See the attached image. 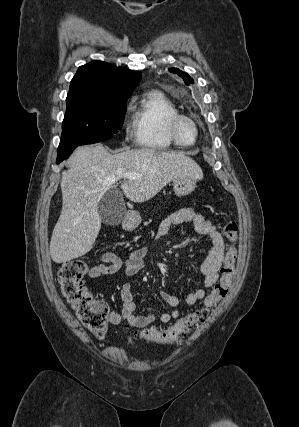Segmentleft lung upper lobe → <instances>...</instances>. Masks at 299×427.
I'll use <instances>...</instances> for the list:
<instances>
[{
    "label": "left lung upper lobe",
    "instance_id": "left-lung-upper-lobe-1",
    "mask_svg": "<svg viewBox=\"0 0 299 427\" xmlns=\"http://www.w3.org/2000/svg\"><path fill=\"white\" fill-rule=\"evenodd\" d=\"M169 71L182 77V79L187 85L193 83V79L186 72H183L178 68H170Z\"/></svg>",
    "mask_w": 299,
    "mask_h": 427
}]
</instances>
